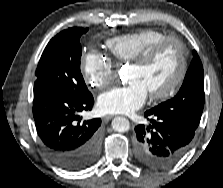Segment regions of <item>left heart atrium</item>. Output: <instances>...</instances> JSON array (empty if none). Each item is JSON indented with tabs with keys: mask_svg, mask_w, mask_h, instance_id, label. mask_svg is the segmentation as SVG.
I'll list each match as a JSON object with an SVG mask.
<instances>
[{
	"mask_svg": "<svg viewBox=\"0 0 223 188\" xmlns=\"http://www.w3.org/2000/svg\"><path fill=\"white\" fill-rule=\"evenodd\" d=\"M147 96L146 88L139 81L133 80L102 93L97 108L103 114H129L139 109Z\"/></svg>",
	"mask_w": 223,
	"mask_h": 188,
	"instance_id": "39dd6f15",
	"label": "left heart atrium"
}]
</instances>
